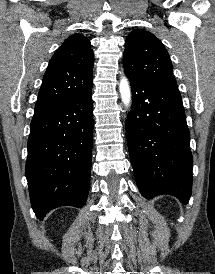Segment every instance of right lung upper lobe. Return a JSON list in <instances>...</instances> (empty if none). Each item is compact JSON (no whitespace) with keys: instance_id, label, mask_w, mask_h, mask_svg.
<instances>
[{"instance_id":"cb5924a9","label":"right lung upper lobe","mask_w":215,"mask_h":274,"mask_svg":"<svg viewBox=\"0 0 215 274\" xmlns=\"http://www.w3.org/2000/svg\"><path fill=\"white\" fill-rule=\"evenodd\" d=\"M93 52L81 34L67 38L43 76L34 113L50 109L92 85Z\"/></svg>"}]
</instances>
